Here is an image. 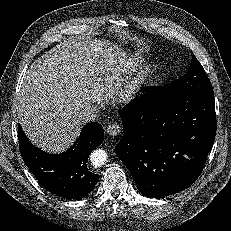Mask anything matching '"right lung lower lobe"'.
Masks as SVG:
<instances>
[{"label": "right lung lower lobe", "mask_w": 231, "mask_h": 231, "mask_svg": "<svg viewBox=\"0 0 231 231\" xmlns=\"http://www.w3.org/2000/svg\"><path fill=\"white\" fill-rule=\"evenodd\" d=\"M18 140L24 163L46 190L67 199H80L93 190L99 175L91 172L86 163L91 150L104 140L101 124H86L73 146L60 154H48L36 148L21 126Z\"/></svg>", "instance_id": "98d812e1"}]
</instances>
